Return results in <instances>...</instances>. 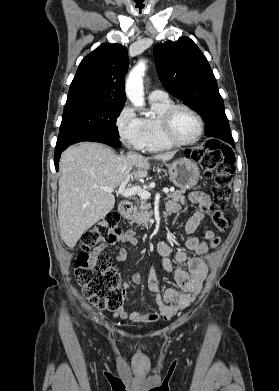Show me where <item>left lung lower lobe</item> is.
I'll list each match as a JSON object with an SVG mask.
<instances>
[{
    "mask_svg": "<svg viewBox=\"0 0 279 391\" xmlns=\"http://www.w3.org/2000/svg\"><path fill=\"white\" fill-rule=\"evenodd\" d=\"M225 141L228 142V143H230V144L234 147L233 139H231V138H226ZM186 154L188 155V152H186Z\"/></svg>",
    "mask_w": 279,
    "mask_h": 391,
    "instance_id": "obj_1",
    "label": "left lung lower lobe"
}]
</instances>
